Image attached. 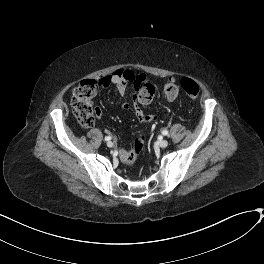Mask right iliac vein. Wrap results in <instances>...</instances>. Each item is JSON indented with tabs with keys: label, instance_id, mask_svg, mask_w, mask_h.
I'll list each match as a JSON object with an SVG mask.
<instances>
[{
	"label": "right iliac vein",
	"instance_id": "obj_1",
	"mask_svg": "<svg viewBox=\"0 0 264 264\" xmlns=\"http://www.w3.org/2000/svg\"><path fill=\"white\" fill-rule=\"evenodd\" d=\"M107 146H108L109 148H111V147H113V143H112L111 141H109V142H107Z\"/></svg>",
	"mask_w": 264,
	"mask_h": 264
}]
</instances>
